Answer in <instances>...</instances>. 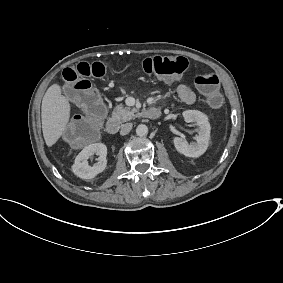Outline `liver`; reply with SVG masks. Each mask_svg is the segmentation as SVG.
<instances>
[{
	"label": "liver",
	"instance_id": "6515ba94",
	"mask_svg": "<svg viewBox=\"0 0 283 283\" xmlns=\"http://www.w3.org/2000/svg\"><path fill=\"white\" fill-rule=\"evenodd\" d=\"M70 117V104L61 94L58 84L50 86L42 99L41 119L43 137L51 147L63 134Z\"/></svg>",
	"mask_w": 283,
	"mask_h": 283
}]
</instances>
